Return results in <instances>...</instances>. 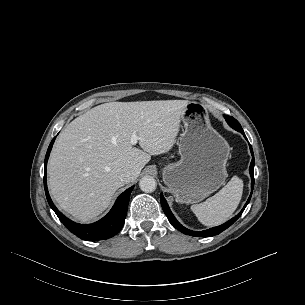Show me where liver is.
Returning a JSON list of instances; mask_svg holds the SVG:
<instances>
[{
    "label": "liver",
    "instance_id": "liver-1",
    "mask_svg": "<svg viewBox=\"0 0 305 305\" xmlns=\"http://www.w3.org/2000/svg\"><path fill=\"white\" fill-rule=\"evenodd\" d=\"M189 101L110 102L74 119L59 135L48 162V185L59 207L86 223L110 204L125 183L135 181L151 155L168 152L179 132ZM135 133L143 149L133 147Z\"/></svg>",
    "mask_w": 305,
    "mask_h": 305
}]
</instances>
